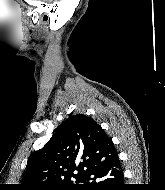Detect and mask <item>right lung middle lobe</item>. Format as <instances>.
<instances>
[{"instance_id":"1","label":"right lung middle lobe","mask_w":165,"mask_h":190,"mask_svg":"<svg viewBox=\"0 0 165 190\" xmlns=\"http://www.w3.org/2000/svg\"><path fill=\"white\" fill-rule=\"evenodd\" d=\"M79 185H68V186H64V187H59V188H55L53 190H78Z\"/></svg>"}]
</instances>
